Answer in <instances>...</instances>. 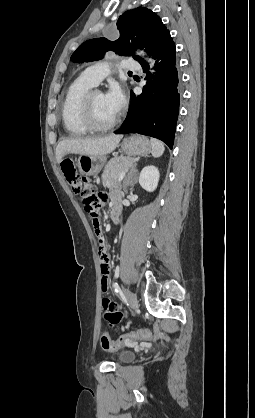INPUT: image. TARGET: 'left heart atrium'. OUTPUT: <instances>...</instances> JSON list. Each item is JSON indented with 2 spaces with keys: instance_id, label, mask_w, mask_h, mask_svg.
I'll list each match as a JSON object with an SVG mask.
<instances>
[{
  "instance_id": "left-heart-atrium-1",
  "label": "left heart atrium",
  "mask_w": 255,
  "mask_h": 418,
  "mask_svg": "<svg viewBox=\"0 0 255 418\" xmlns=\"http://www.w3.org/2000/svg\"><path fill=\"white\" fill-rule=\"evenodd\" d=\"M104 96L108 107L115 115L126 105L125 94L117 85H113Z\"/></svg>"
}]
</instances>
